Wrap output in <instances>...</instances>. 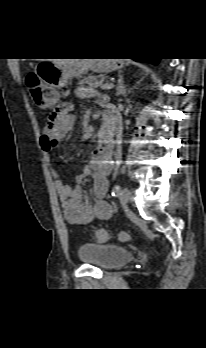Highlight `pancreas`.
Segmentation results:
<instances>
[{
	"label": "pancreas",
	"mask_w": 206,
	"mask_h": 348,
	"mask_svg": "<svg viewBox=\"0 0 206 348\" xmlns=\"http://www.w3.org/2000/svg\"><path fill=\"white\" fill-rule=\"evenodd\" d=\"M105 79L103 75L96 76V75H90L83 80L80 81V85H87L91 88H96L100 85V83Z\"/></svg>",
	"instance_id": "1"
}]
</instances>
